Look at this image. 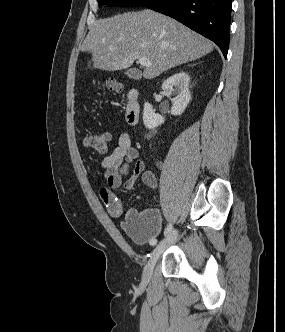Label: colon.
I'll list each match as a JSON object with an SVG mask.
<instances>
[{
    "mask_svg": "<svg viewBox=\"0 0 285 332\" xmlns=\"http://www.w3.org/2000/svg\"><path fill=\"white\" fill-rule=\"evenodd\" d=\"M105 87L109 92L114 94H119L123 91L122 85L113 80L107 81ZM109 138L108 132H95L88 134L84 141L88 148L99 153H104L107 150Z\"/></svg>",
    "mask_w": 285,
    "mask_h": 332,
    "instance_id": "1",
    "label": "colon"
}]
</instances>
